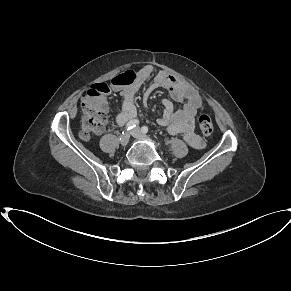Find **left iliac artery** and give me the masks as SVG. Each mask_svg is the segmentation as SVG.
Returning a JSON list of instances; mask_svg holds the SVG:
<instances>
[{"label": "left iliac artery", "mask_w": 291, "mask_h": 291, "mask_svg": "<svg viewBox=\"0 0 291 291\" xmlns=\"http://www.w3.org/2000/svg\"><path fill=\"white\" fill-rule=\"evenodd\" d=\"M141 132L144 133V134L148 133V127L147 126H143L141 128Z\"/></svg>", "instance_id": "left-iliac-artery-1"}]
</instances>
